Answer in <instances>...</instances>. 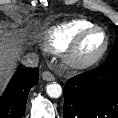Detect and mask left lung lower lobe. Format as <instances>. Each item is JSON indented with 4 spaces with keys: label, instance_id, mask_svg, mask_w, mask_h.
<instances>
[{
    "label": "left lung lower lobe",
    "instance_id": "obj_1",
    "mask_svg": "<svg viewBox=\"0 0 118 118\" xmlns=\"http://www.w3.org/2000/svg\"><path fill=\"white\" fill-rule=\"evenodd\" d=\"M64 118H118V59L70 78L64 87Z\"/></svg>",
    "mask_w": 118,
    "mask_h": 118
}]
</instances>
